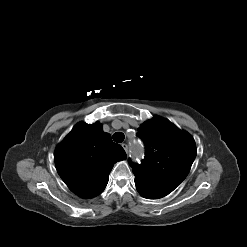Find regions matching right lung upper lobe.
<instances>
[{
  "mask_svg": "<svg viewBox=\"0 0 247 247\" xmlns=\"http://www.w3.org/2000/svg\"><path fill=\"white\" fill-rule=\"evenodd\" d=\"M127 155L98 122L78 123L55 150V165L65 184L81 198L105 189L113 165Z\"/></svg>",
  "mask_w": 247,
  "mask_h": 247,
  "instance_id": "right-lung-upper-lobe-1",
  "label": "right lung upper lobe"
}]
</instances>
